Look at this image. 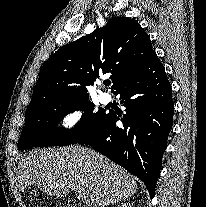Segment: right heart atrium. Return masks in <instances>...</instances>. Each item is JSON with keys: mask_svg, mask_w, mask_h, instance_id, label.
Here are the masks:
<instances>
[{"mask_svg": "<svg viewBox=\"0 0 206 207\" xmlns=\"http://www.w3.org/2000/svg\"><path fill=\"white\" fill-rule=\"evenodd\" d=\"M85 118V112L81 107H74L65 112L60 119V126L66 131L77 129Z\"/></svg>", "mask_w": 206, "mask_h": 207, "instance_id": "obj_1", "label": "right heart atrium"}]
</instances>
